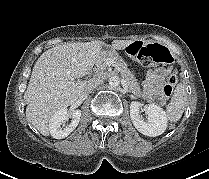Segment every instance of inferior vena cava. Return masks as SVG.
Returning <instances> with one entry per match:
<instances>
[{"label": "inferior vena cava", "mask_w": 209, "mask_h": 179, "mask_svg": "<svg viewBox=\"0 0 209 179\" xmlns=\"http://www.w3.org/2000/svg\"><path fill=\"white\" fill-rule=\"evenodd\" d=\"M102 82H103V80L97 79V78L89 80L87 83V86L85 88V94L87 95V94L91 93V91L94 88H96L98 85H100Z\"/></svg>", "instance_id": "1"}]
</instances>
